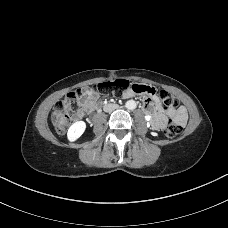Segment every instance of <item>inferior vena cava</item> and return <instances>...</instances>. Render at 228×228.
<instances>
[{
  "label": "inferior vena cava",
  "instance_id": "obj_1",
  "mask_svg": "<svg viewBox=\"0 0 228 228\" xmlns=\"http://www.w3.org/2000/svg\"><path fill=\"white\" fill-rule=\"evenodd\" d=\"M119 108V105L118 104H107V105H105L104 107H103V110L105 111V112H112V111H114V110H116V109H118Z\"/></svg>",
  "mask_w": 228,
  "mask_h": 228
}]
</instances>
